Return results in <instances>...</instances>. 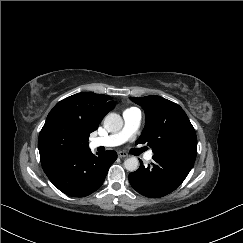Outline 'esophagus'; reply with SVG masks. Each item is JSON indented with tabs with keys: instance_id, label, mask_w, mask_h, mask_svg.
<instances>
[{
	"instance_id": "esophagus-1",
	"label": "esophagus",
	"mask_w": 243,
	"mask_h": 243,
	"mask_svg": "<svg viewBox=\"0 0 243 243\" xmlns=\"http://www.w3.org/2000/svg\"><path fill=\"white\" fill-rule=\"evenodd\" d=\"M118 157L120 158H125V157H128V154L124 151H118Z\"/></svg>"
}]
</instances>
